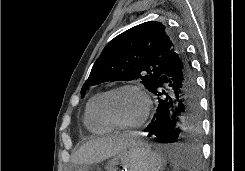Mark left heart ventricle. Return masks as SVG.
<instances>
[{
	"instance_id": "b2bd125f",
	"label": "left heart ventricle",
	"mask_w": 245,
	"mask_h": 171,
	"mask_svg": "<svg viewBox=\"0 0 245 171\" xmlns=\"http://www.w3.org/2000/svg\"><path fill=\"white\" fill-rule=\"evenodd\" d=\"M145 102L135 90L127 89L114 93L107 102L110 116L122 124L137 122L143 115Z\"/></svg>"
}]
</instances>
